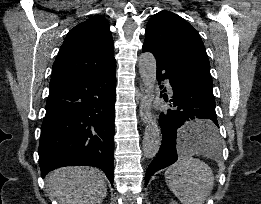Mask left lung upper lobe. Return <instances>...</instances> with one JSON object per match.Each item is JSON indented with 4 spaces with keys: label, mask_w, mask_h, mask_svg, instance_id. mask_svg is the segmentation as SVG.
I'll return each instance as SVG.
<instances>
[{
    "label": "left lung upper lobe",
    "mask_w": 261,
    "mask_h": 204,
    "mask_svg": "<svg viewBox=\"0 0 261 204\" xmlns=\"http://www.w3.org/2000/svg\"><path fill=\"white\" fill-rule=\"evenodd\" d=\"M162 63L213 86L209 60L198 32L183 18L161 11L150 18L143 47Z\"/></svg>",
    "instance_id": "1"
}]
</instances>
